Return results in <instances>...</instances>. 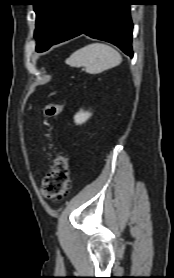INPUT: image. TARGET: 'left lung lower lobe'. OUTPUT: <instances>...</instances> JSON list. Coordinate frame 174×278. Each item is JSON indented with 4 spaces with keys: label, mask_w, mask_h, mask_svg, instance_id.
<instances>
[{
    "label": "left lung lower lobe",
    "mask_w": 174,
    "mask_h": 278,
    "mask_svg": "<svg viewBox=\"0 0 174 278\" xmlns=\"http://www.w3.org/2000/svg\"><path fill=\"white\" fill-rule=\"evenodd\" d=\"M132 0H77L67 24L55 44L80 34L110 42L133 57L130 18Z\"/></svg>",
    "instance_id": "obj_1"
}]
</instances>
